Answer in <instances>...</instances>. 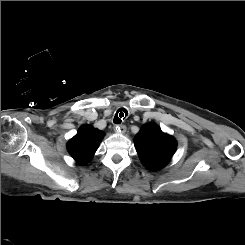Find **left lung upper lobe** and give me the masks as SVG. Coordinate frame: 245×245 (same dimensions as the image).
<instances>
[{
  "mask_svg": "<svg viewBox=\"0 0 245 245\" xmlns=\"http://www.w3.org/2000/svg\"><path fill=\"white\" fill-rule=\"evenodd\" d=\"M137 153L142 164L155 171L165 167L177 148L176 139L162 132L154 123L145 124L135 137Z\"/></svg>",
  "mask_w": 245,
  "mask_h": 245,
  "instance_id": "1",
  "label": "left lung upper lobe"
}]
</instances>
